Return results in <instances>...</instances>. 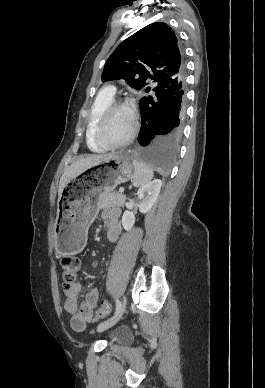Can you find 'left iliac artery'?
<instances>
[{"label": "left iliac artery", "mask_w": 265, "mask_h": 388, "mask_svg": "<svg viewBox=\"0 0 265 388\" xmlns=\"http://www.w3.org/2000/svg\"><path fill=\"white\" fill-rule=\"evenodd\" d=\"M120 308H121V302H120L118 299H116V311H115V315L119 312Z\"/></svg>", "instance_id": "left-iliac-artery-1"}]
</instances>
